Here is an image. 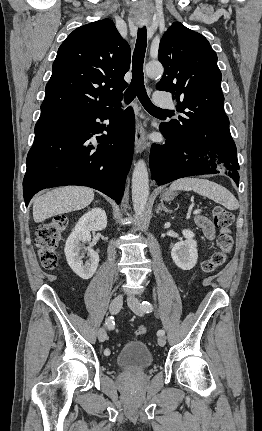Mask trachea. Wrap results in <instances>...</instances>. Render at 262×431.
<instances>
[{
	"instance_id": "1",
	"label": "trachea",
	"mask_w": 262,
	"mask_h": 431,
	"mask_svg": "<svg viewBox=\"0 0 262 431\" xmlns=\"http://www.w3.org/2000/svg\"><path fill=\"white\" fill-rule=\"evenodd\" d=\"M147 45V30L146 27L138 29L136 45L132 57V81L125 92V102L130 103L136 96L149 113L171 114V111L163 110L155 106L149 99L145 85L143 74V63Z\"/></svg>"
}]
</instances>
